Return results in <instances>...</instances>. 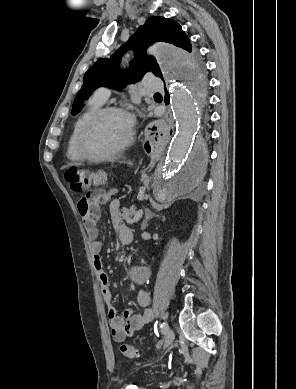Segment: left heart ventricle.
<instances>
[{"instance_id": "left-heart-ventricle-1", "label": "left heart ventricle", "mask_w": 296, "mask_h": 389, "mask_svg": "<svg viewBox=\"0 0 296 389\" xmlns=\"http://www.w3.org/2000/svg\"><path fill=\"white\" fill-rule=\"evenodd\" d=\"M130 129V120L123 114H109L100 119L92 128L87 139L91 153L102 154L122 144Z\"/></svg>"}]
</instances>
